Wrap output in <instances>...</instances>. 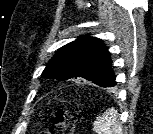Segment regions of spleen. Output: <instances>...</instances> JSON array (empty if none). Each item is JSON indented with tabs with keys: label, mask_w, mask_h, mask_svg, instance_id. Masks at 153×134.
I'll list each match as a JSON object with an SVG mask.
<instances>
[{
	"label": "spleen",
	"mask_w": 153,
	"mask_h": 134,
	"mask_svg": "<svg viewBox=\"0 0 153 134\" xmlns=\"http://www.w3.org/2000/svg\"><path fill=\"white\" fill-rule=\"evenodd\" d=\"M93 130L96 134H122V126L118 121V111L114 108H108L96 118L93 123Z\"/></svg>",
	"instance_id": "spleen-1"
}]
</instances>
